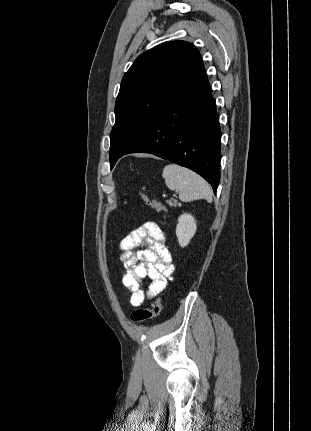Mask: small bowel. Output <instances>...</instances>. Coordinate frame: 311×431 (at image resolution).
<instances>
[{"instance_id": "c3829d8e", "label": "small bowel", "mask_w": 311, "mask_h": 431, "mask_svg": "<svg viewBox=\"0 0 311 431\" xmlns=\"http://www.w3.org/2000/svg\"><path fill=\"white\" fill-rule=\"evenodd\" d=\"M120 251L125 267L122 282L130 292L133 306H140L146 299L161 293L173 277L174 266L164 234L153 221L145 222L124 237ZM145 278L151 280L146 291L142 288Z\"/></svg>"}]
</instances>
